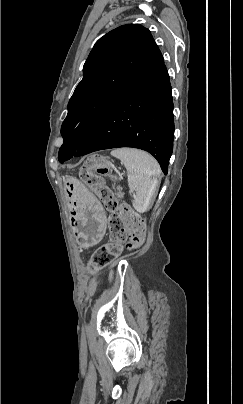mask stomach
Masks as SVG:
<instances>
[{"mask_svg":"<svg viewBox=\"0 0 243 404\" xmlns=\"http://www.w3.org/2000/svg\"><path fill=\"white\" fill-rule=\"evenodd\" d=\"M65 188L70 203L72 229L82 247L97 244L106 230L105 211L98 199L78 179L69 176Z\"/></svg>","mask_w":243,"mask_h":404,"instance_id":"obj_1","label":"stomach"}]
</instances>
